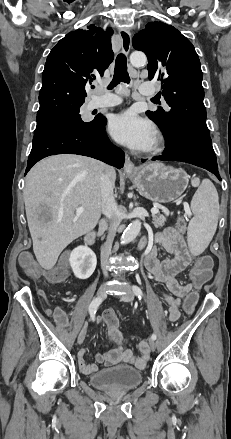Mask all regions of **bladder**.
Here are the masks:
<instances>
[{
    "instance_id": "1",
    "label": "bladder",
    "mask_w": 231,
    "mask_h": 439,
    "mask_svg": "<svg viewBox=\"0 0 231 439\" xmlns=\"http://www.w3.org/2000/svg\"><path fill=\"white\" fill-rule=\"evenodd\" d=\"M142 373L129 366H116L93 373L88 382L95 388L111 391H127L138 387Z\"/></svg>"
}]
</instances>
